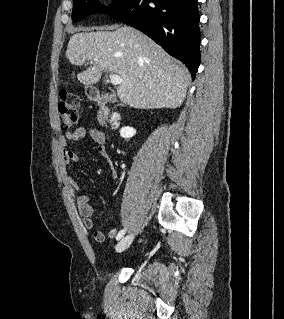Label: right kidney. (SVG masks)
Returning <instances> with one entry per match:
<instances>
[{
	"label": "right kidney",
	"instance_id": "obj_1",
	"mask_svg": "<svg viewBox=\"0 0 284 319\" xmlns=\"http://www.w3.org/2000/svg\"><path fill=\"white\" fill-rule=\"evenodd\" d=\"M135 134L136 130L129 126L122 127L120 130V136L123 138H130L133 137Z\"/></svg>",
	"mask_w": 284,
	"mask_h": 319
}]
</instances>
